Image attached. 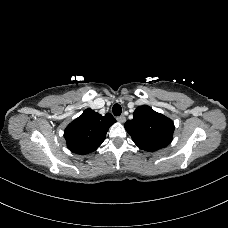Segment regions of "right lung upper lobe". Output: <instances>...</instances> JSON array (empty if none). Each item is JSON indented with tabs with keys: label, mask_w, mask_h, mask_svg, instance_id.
<instances>
[{
	"label": "right lung upper lobe",
	"mask_w": 228,
	"mask_h": 228,
	"mask_svg": "<svg viewBox=\"0 0 228 228\" xmlns=\"http://www.w3.org/2000/svg\"><path fill=\"white\" fill-rule=\"evenodd\" d=\"M115 122L110 113L102 116L90 108L86 109L66 127L64 138L67 147L76 154L95 151L105 140L109 127Z\"/></svg>",
	"instance_id": "right-lung-upper-lobe-1"
}]
</instances>
